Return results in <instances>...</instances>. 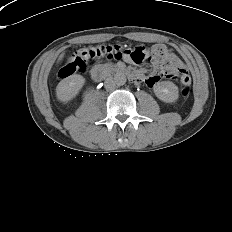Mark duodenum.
<instances>
[{"label":"duodenum","mask_w":232,"mask_h":232,"mask_svg":"<svg viewBox=\"0 0 232 232\" xmlns=\"http://www.w3.org/2000/svg\"><path fill=\"white\" fill-rule=\"evenodd\" d=\"M117 72L119 75L127 76L130 80L134 82H137L139 79L137 74L131 73L124 68H119ZM90 76L94 82H100L104 76V69L101 66H94L90 72Z\"/></svg>","instance_id":"duodenum-1"}]
</instances>
